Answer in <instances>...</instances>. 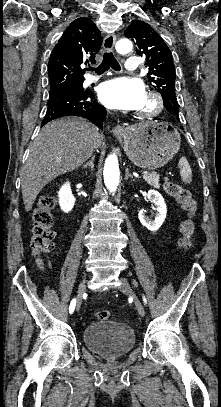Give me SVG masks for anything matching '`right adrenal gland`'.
Segmentation results:
<instances>
[{
  "label": "right adrenal gland",
  "instance_id": "2a0ac1e0",
  "mask_svg": "<svg viewBox=\"0 0 221 407\" xmlns=\"http://www.w3.org/2000/svg\"><path fill=\"white\" fill-rule=\"evenodd\" d=\"M94 159H95V156H92V157H91V160H89L88 162H86V163L83 165V168L90 167L91 170L93 171V169H94Z\"/></svg>",
  "mask_w": 221,
  "mask_h": 407
}]
</instances>
